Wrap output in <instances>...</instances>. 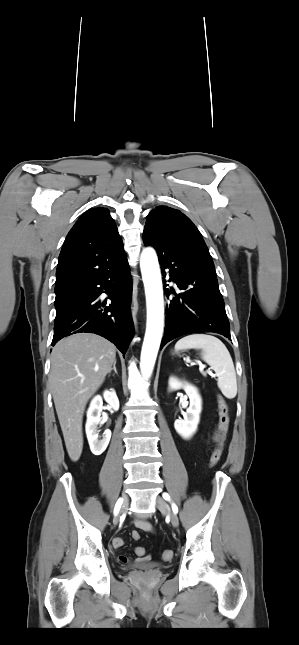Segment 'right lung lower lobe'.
<instances>
[{
	"label": "right lung lower lobe",
	"mask_w": 299,
	"mask_h": 645,
	"mask_svg": "<svg viewBox=\"0 0 299 645\" xmlns=\"http://www.w3.org/2000/svg\"><path fill=\"white\" fill-rule=\"evenodd\" d=\"M110 294L111 304L99 300ZM132 284L127 257L115 268L100 273L77 288V294L56 310L52 345L75 333H95L126 353L134 326L130 313ZM124 356V355H123Z\"/></svg>",
	"instance_id": "right-lung-lower-lobe-1"
}]
</instances>
